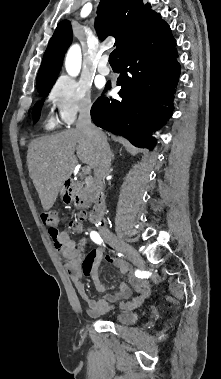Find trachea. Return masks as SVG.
<instances>
[{"label": "trachea", "instance_id": "obj_1", "mask_svg": "<svg viewBox=\"0 0 221 379\" xmlns=\"http://www.w3.org/2000/svg\"><path fill=\"white\" fill-rule=\"evenodd\" d=\"M110 65H117L116 50H114L109 56Z\"/></svg>", "mask_w": 221, "mask_h": 379}]
</instances>
